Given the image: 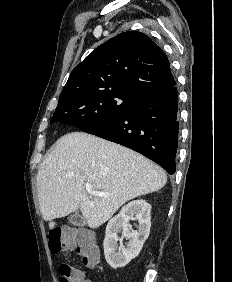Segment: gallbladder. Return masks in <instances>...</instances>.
<instances>
[{
  "label": "gallbladder",
  "mask_w": 232,
  "mask_h": 282,
  "mask_svg": "<svg viewBox=\"0 0 232 282\" xmlns=\"http://www.w3.org/2000/svg\"><path fill=\"white\" fill-rule=\"evenodd\" d=\"M68 220H69V223L75 226H81L85 222L84 218L78 212H74L73 214H71Z\"/></svg>",
  "instance_id": "obj_1"
}]
</instances>
